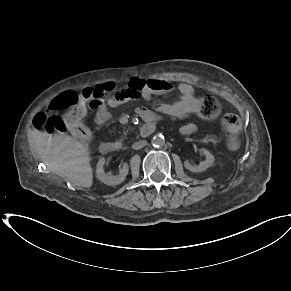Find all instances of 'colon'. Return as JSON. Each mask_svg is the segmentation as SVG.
<instances>
[{"instance_id":"obj_1","label":"colon","mask_w":291,"mask_h":291,"mask_svg":"<svg viewBox=\"0 0 291 291\" xmlns=\"http://www.w3.org/2000/svg\"><path fill=\"white\" fill-rule=\"evenodd\" d=\"M115 87L111 83L100 84L96 90L84 89L80 93L64 91L46 104V109L39 112L33 120L35 128L44 129L47 133L69 131L81 144L90 140V130L84 124L87 104L100 97L111 96ZM179 107H192L193 114H200L204 119L216 115L218 104L212 96L200 98H179ZM223 131L230 143L235 145L241 130L240 119L234 114H225L221 119Z\"/></svg>"}]
</instances>
